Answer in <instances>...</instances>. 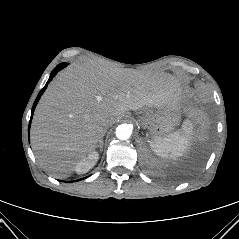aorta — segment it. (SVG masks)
Masks as SVG:
<instances>
[{
    "instance_id": "762f6f07",
    "label": "aorta",
    "mask_w": 239,
    "mask_h": 239,
    "mask_svg": "<svg viewBox=\"0 0 239 239\" xmlns=\"http://www.w3.org/2000/svg\"><path fill=\"white\" fill-rule=\"evenodd\" d=\"M115 133L119 140H127L131 137L132 127L128 124H121L116 128Z\"/></svg>"
}]
</instances>
